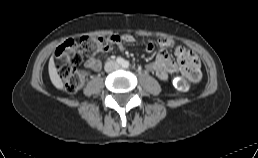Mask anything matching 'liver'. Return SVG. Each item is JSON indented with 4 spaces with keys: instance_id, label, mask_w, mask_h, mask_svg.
I'll list each match as a JSON object with an SVG mask.
<instances>
[{
    "instance_id": "1",
    "label": "liver",
    "mask_w": 258,
    "mask_h": 158,
    "mask_svg": "<svg viewBox=\"0 0 258 158\" xmlns=\"http://www.w3.org/2000/svg\"><path fill=\"white\" fill-rule=\"evenodd\" d=\"M48 71H49V77H50L52 84L57 89H63V82L57 72V68L55 66L53 56L49 60Z\"/></svg>"
}]
</instances>
